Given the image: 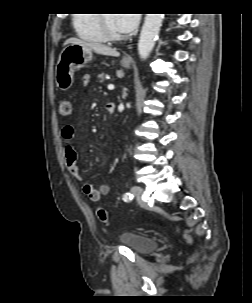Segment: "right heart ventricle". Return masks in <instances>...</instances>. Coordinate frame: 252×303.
Here are the masks:
<instances>
[{
  "label": "right heart ventricle",
  "mask_w": 252,
  "mask_h": 303,
  "mask_svg": "<svg viewBox=\"0 0 252 303\" xmlns=\"http://www.w3.org/2000/svg\"><path fill=\"white\" fill-rule=\"evenodd\" d=\"M77 33L84 39L93 42L105 40L100 27L99 14H78L73 20Z\"/></svg>",
  "instance_id": "right-heart-ventricle-1"
}]
</instances>
